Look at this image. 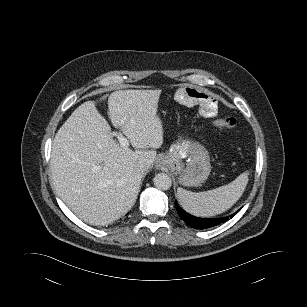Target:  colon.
<instances>
[{
  "instance_id": "obj_1",
  "label": "colon",
  "mask_w": 307,
  "mask_h": 307,
  "mask_svg": "<svg viewBox=\"0 0 307 307\" xmlns=\"http://www.w3.org/2000/svg\"><path fill=\"white\" fill-rule=\"evenodd\" d=\"M236 120L232 117L216 119L213 122V127L222 130V131H230L236 127Z\"/></svg>"
}]
</instances>
